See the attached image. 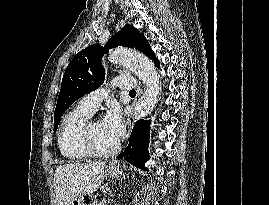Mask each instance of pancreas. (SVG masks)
<instances>
[{
	"mask_svg": "<svg viewBox=\"0 0 269 205\" xmlns=\"http://www.w3.org/2000/svg\"><path fill=\"white\" fill-rule=\"evenodd\" d=\"M96 205H105V203L104 202H100V203H98Z\"/></svg>",
	"mask_w": 269,
	"mask_h": 205,
	"instance_id": "1",
	"label": "pancreas"
}]
</instances>
